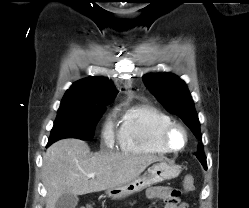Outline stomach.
<instances>
[{"label": "stomach", "instance_id": "stomach-1", "mask_svg": "<svg viewBox=\"0 0 249 208\" xmlns=\"http://www.w3.org/2000/svg\"><path fill=\"white\" fill-rule=\"evenodd\" d=\"M181 172L178 165L170 164L166 161H160L154 164L138 178L124 185L107 190V195L112 199H120L125 196L138 193L150 187L151 185L160 183L164 180L176 178Z\"/></svg>", "mask_w": 249, "mask_h": 208}]
</instances>
